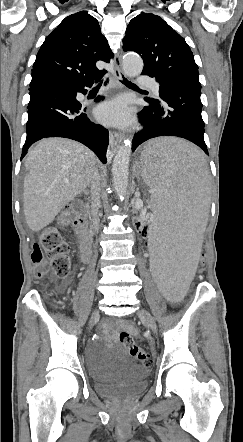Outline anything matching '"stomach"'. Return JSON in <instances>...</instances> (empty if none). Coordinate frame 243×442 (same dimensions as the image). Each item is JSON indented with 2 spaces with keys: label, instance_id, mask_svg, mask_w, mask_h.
<instances>
[{
  "label": "stomach",
  "instance_id": "0dacf381",
  "mask_svg": "<svg viewBox=\"0 0 243 442\" xmlns=\"http://www.w3.org/2000/svg\"><path fill=\"white\" fill-rule=\"evenodd\" d=\"M160 139V138H159ZM141 163V162H140ZM140 163L139 164H137V165H140ZM137 165H136V168H137ZM136 168H135V171H136Z\"/></svg>",
  "mask_w": 243,
  "mask_h": 442
}]
</instances>
